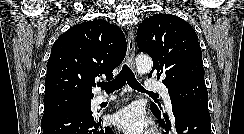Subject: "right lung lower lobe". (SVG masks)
Here are the masks:
<instances>
[{"label":"right lung lower lobe","mask_w":244,"mask_h":134,"mask_svg":"<svg viewBox=\"0 0 244 134\" xmlns=\"http://www.w3.org/2000/svg\"><path fill=\"white\" fill-rule=\"evenodd\" d=\"M42 128L43 134H114L109 126L102 127V121L84 109L52 114L42 121Z\"/></svg>","instance_id":"98d812e1"}]
</instances>
